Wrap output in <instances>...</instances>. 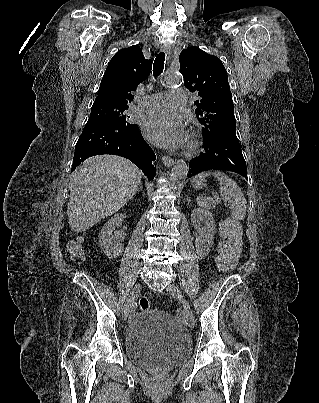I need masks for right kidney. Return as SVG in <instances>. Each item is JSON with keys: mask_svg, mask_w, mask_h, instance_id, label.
<instances>
[{"mask_svg": "<svg viewBox=\"0 0 319 403\" xmlns=\"http://www.w3.org/2000/svg\"><path fill=\"white\" fill-rule=\"evenodd\" d=\"M124 218L123 214H115L101 230L99 244L108 258H117L124 251V245L122 244L124 236L113 232L115 226H121L124 223Z\"/></svg>", "mask_w": 319, "mask_h": 403, "instance_id": "right-kidney-1", "label": "right kidney"}]
</instances>
